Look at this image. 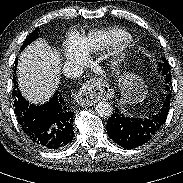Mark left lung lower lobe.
I'll list each match as a JSON object with an SVG mask.
<instances>
[{
  "label": "left lung lower lobe",
  "mask_w": 183,
  "mask_h": 183,
  "mask_svg": "<svg viewBox=\"0 0 183 183\" xmlns=\"http://www.w3.org/2000/svg\"><path fill=\"white\" fill-rule=\"evenodd\" d=\"M165 90L169 89L171 74H166ZM171 94H168L162 104L145 118H129L124 116L119 108H116L113 115L107 122L108 136L118 145L131 149L149 141L166 121Z\"/></svg>",
  "instance_id": "obj_1"
}]
</instances>
